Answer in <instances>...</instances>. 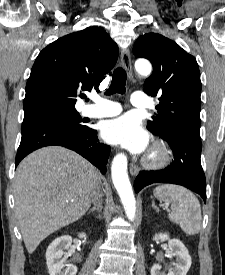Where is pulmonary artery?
<instances>
[{
	"label": "pulmonary artery",
	"instance_id": "e3ab8cb5",
	"mask_svg": "<svg viewBox=\"0 0 225 275\" xmlns=\"http://www.w3.org/2000/svg\"><path fill=\"white\" fill-rule=\"evenodd\" d=\"M131 104L139 108L150 107L149 98L144 92H135L132 95ZM121 111L122 107L119 103L106 99H97L96 104L86 106L82 112L88 117H111Z\"/></svg>",
	"mask_w": 225,
	"mask_h": 275
}]
</instances>
